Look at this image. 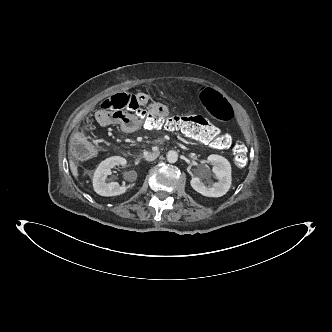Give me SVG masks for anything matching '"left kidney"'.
<instances>
[{"instance_id": "left-kidney-1", "label": "left kidney", "mask_w": 332, "mask_h": 332, "mask_svg": "<svg viewBox=\"0 0 332 332\" xmlns=\"http://www.w3.org/2000/svg\"><path fill=\"white\" fill-rule=\"evenodd\" d=\"M208 162L213 166L212 172L219 179L211 187L205 186L200 178L193 177L190 181L192 188L207 197H221L231 186V165L227 159L219 155H210Z\"/></svg>"}]
</instances>
